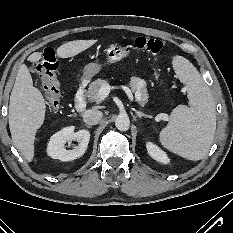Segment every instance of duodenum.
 <instances>
[{
  "label": "duodenum",
  "instance_id": "1",
  "mask_svg": "<svg viewBox=\"0 0 233 233\" xmlns=\"http://www.w3.org/2000/svg\"><path fill=\"white\" fill-rule=\"evenodd\" d=\"M86 81L82 80L77 85L75 93V109L77 112H83L86 109L85 101Z\"/></svg>",
  "mask_w": 233,
  "mask_h": 233
}]
</instances>
